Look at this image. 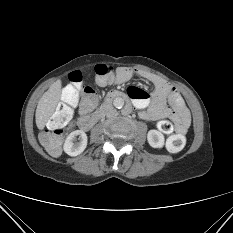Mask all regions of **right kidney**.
Instances as JSON below:
<instances>
[{
    "label": "right kidney",
    "mask_w": 233,
    "mask_h": 233,
    "mask_svg": "<svg viewBox=\"0 0 233 233\" xmlns=\"http://www.w3.org/2000/svg\"><path fill=\"white\" fill-rule=\"evenodd\" d=\"M77 137L79 142L77 141ZM87 146V135L82 130H75L71 132L65 140L63 149L64 152L70 156H77L81 154Z\"/></svg>",
    "instance_id": "1"
}]
</instances>
